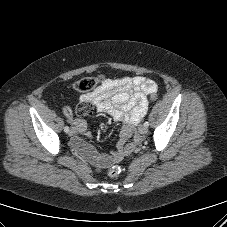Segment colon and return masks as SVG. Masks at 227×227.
I'll return each mask as SVG.
<instances>
[{
	"label": "colon",
	"mask_w": 227,
	"mask_h": 227,
	"mask_svg": "<svg viewBox=\"0 0 227 227\" xmlns=\"http://www.w3.org/2000/svg\"><path fill=\"white\" fill-rule=\"evenodd\" d=\"M100 82H101L100 77H84L75 82L74 89L81 93H88L94 90ZM65 113L69 114V110H66ZM120 173L121 167L119 165H113L108 170V175L111 178H117L120 175Z\"/></svg>",
	"instance_id": "colon-1"
}]
</instances>
